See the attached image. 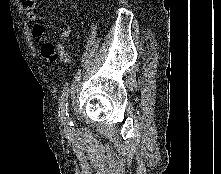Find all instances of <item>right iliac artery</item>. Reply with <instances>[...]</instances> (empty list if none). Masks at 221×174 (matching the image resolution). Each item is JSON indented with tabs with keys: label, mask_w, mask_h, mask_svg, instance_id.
I'll list each match as a JSON object with an SVG mask.
<instances>
[{
	"label": "right iliac artery",
	"mask_w": 221,
	"mask_h": 174,
	"mask_svg": "<svg viewBox=\"0 0 221 174\" xmlns=\"http://www.w3.org/2000/svg\"><path fill=\"white\" fill-rule=\"evenodd\" d=\"M68 83H66L63 93L60 100V106H59V115L61 118L62 123L67 127H71L73 124L70 120L69 114H68Z\"/></svg>",
	"instance_id": "obj_1"
}]
</instances>
